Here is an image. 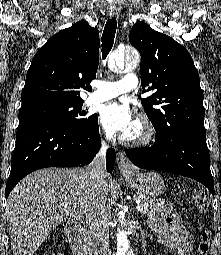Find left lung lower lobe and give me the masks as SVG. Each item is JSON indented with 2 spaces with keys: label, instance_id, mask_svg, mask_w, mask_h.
I'll list each match as a JSON object with an SVG mask.
<instances>
[{
  "label": "left lung lower lobe",
  "instance_id": "obj_1",
  "mask_svg": "<svg viewBox=\"0 0 221 255\" xmlns=\"http://www.w3.org/2000/svg\"><path fill=\"white\" fill-rule=\"evenodd\" d=\"M125 152L139 168L195 179L214 195L206 134L183 131L172 138L156 137L151 147L129 149Z\"/></svg>",
  "mask_w": 221,
  "mask_h": 255
}]
</instances>
